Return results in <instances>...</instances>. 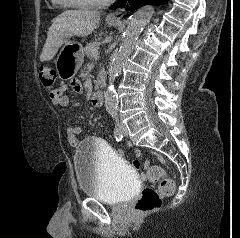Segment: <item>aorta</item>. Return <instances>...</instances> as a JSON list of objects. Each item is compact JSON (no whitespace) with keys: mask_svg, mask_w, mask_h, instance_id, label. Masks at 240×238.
<instances>
[{"mask_svg":"<svg viewBox=\"0 0 240 238\" xmlns=\"http://www.w3.org/2000/svg\"><path fill=\"white\" fill-rule=\"evenodd\" d=\"M154 13L152 6H145L137 10L129 19L123 41L117 53L114 54L109 68L108 87L105 93L106 111L111 116L117 115L118 99L114 89V82L120 73L122 66L134 49L136 41L144 27L150 21Z\"/></svg>","mask_w":240,"mask_h":238,"instance_id":"aorta-1","label":"aorta"}]
</instances>
